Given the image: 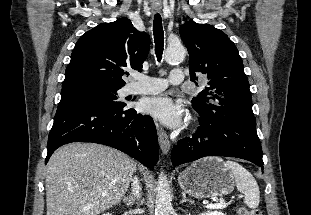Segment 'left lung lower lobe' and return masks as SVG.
Wrapping results in <instances>:
<instances>
[{
  "label": "left lung lower lobe",
  "instance_id": "0a47b994",
  "mask_svg": "<svg viewBox=\"0 0 311 215\" xmlns=\"http://www.w3.org/2000/svg\"><path fill=\"white\" fill-rule=\"evenodd\" d=\"M200 127L192 138L179 140L172 150L174 166L205 156L237 157L263 169L261 143L254 115L232 114L218 120L201 116Z\"/></svg>",
  "mask_w": 311,
  "mask_h": 215
}]
</instances>
